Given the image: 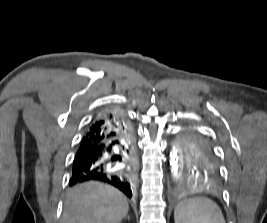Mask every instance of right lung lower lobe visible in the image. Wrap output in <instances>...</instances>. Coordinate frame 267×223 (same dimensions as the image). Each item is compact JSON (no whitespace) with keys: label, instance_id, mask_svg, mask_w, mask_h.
<instances>
[{"label":"right lung lower lobe","instance_id":"right-lung-lower-lobe-1","mask_svg":"<svg viewBox=\"0 0 267 223\" xmlns=\"http://www.w3.org/2000/svg\"><path fill=\"white\" fill-rule=\"evenodd\" d=\"M123 128L124 131L116 138L87 147L80 146L73 161L71 186L100 181L118 188L128 198L132 197L136 174L130 165V147L127 145L132 142V130L130 125ZM121 163L126 166L121 167Z\"/></svg>","mask_w":267,"mask_h":223}]
</instances>
